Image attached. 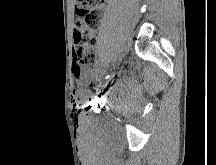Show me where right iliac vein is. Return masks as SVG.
<instances>
[{"label":"right iliac vein","mask_w":216,"mask_h":165,"mask_svg":"<svg viewBox=\"0 0 216 165\" xmlns=\"http://www.w3.org/2000/svg\"><path fill=\"white\" fill-rule=\"evenodd\" d=\"M105 67L108 69L110 66L108 65V63H106L105 66H103L102 68H100V69L96 72V75H97V76H101V75L105 72Z\"/></svg>","instance_id":"right-iliac-vein-1"}]
</instances>
